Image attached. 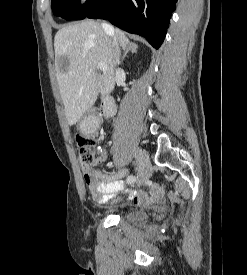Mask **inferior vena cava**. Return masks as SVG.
Masks as SVG:
<instances>
[{"mask_svg":"<svg viewBox=\"0 0 247 275\" xmlns=\"http://www.w3.org/2000/svg\"><path fill=\"white\" fill-rule=\"evenodd\" d=\"M102 27L107 32H111L112 31V27L109 26L106 23H102ZM112 44H113V46L115 48V54H114L115 61H114V65L117 66V65L120 64V51H119L118 41H117V38H116L115 35L112 38ZM119 71H120V68H117L116 69V74L119 73Z\"/></svg>","mask_w":247,"mask_h":275,"instance_id":"602c4592","label":"inferior vena cava"}]
</instances>
